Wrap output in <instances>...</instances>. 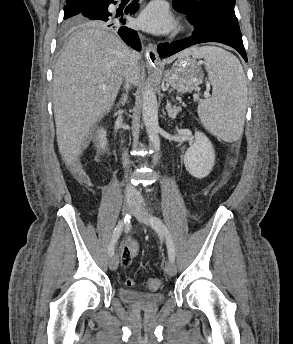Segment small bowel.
Returning a JSON list of instances; mask_svg holds the SVG:
<instances>
[{
  "mask_svg": "<svg viewBox=\"0 0 293 344\" xmlns=\"http://www.w3.org/2000/svg\"><path fill=\"white\" fill-rule=\"evenodd\" d=\"M139 253V245L134 239H128L124 246L121 247L120 257L122 264L128 266L131 260Z\"/></svg>",
  "mask_w": 293,
  "mask_h": 344,
  "instance_id": "obj_1",
  "label": "small bowel"
}]
</instances>
